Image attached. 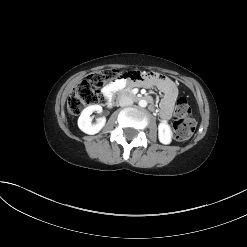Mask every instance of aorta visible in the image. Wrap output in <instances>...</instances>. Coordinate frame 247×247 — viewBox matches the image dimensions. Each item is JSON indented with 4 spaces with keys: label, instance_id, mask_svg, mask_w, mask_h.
Returning <instances> with one entry per match:
<instances>
[{
    "label": "aorta",
    "instance_id": "obj_1",
    "mask_svg": "<svg viewBox=\"0 0 247 247\" xmlns=\"http://www.w3.org/2000/svg\"><path fill=\"white\" fill-rule=\"evenodd\" d=\"M139 106L140 107H146L147 106V101L146 100H140L139 101Z\"/></svg>",
    "mask_w": 247,
    "mask_h": 247
}]
</instances>
